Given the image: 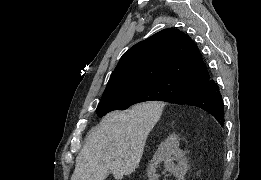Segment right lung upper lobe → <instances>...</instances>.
<instances>
[{
	"mask_svg": "<svg viewBox=\"0 0 261 180\" xmlns=\"http://www.w3.org/2000/svg\"><path fill=\"white\" fill-rule=\"evenodd\" d=\"M208 76L200 51L189 36L178 29H164L122 55L103 94L159 80L201 83Z\"/></svg>",
	"mask_w": 261,
	"mask_h": 180,
	"instance_id": "obj_1",
	"label": "right lung upper lobe"
}]
</instances>
